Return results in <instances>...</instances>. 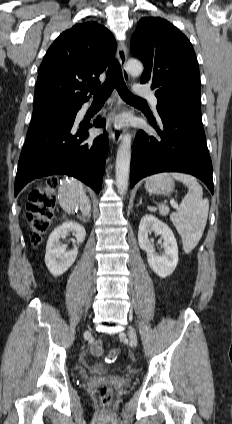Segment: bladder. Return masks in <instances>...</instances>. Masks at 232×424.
Segmentation results:
<instances>
[{
  "instance_id": "1",
  "label": "bladder",
  "mask_w": 232,
  "mask_h": 424,
  "mask_svg": "<svg viewBox=\"0 0 232 424\" xmlns=\"http://www.w3.org/2000/svg\"><path fill=\"white\" fill-rule=\"evenodd\" d=\"M88 373L92 374V375H109V376H113V375H120L123 373L122 370L120 369H108L106 366H104L103 364H95L93 366H91L88 369Z\"/></svg>"
}]
</instances>
